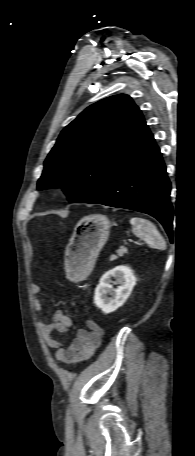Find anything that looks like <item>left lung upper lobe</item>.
Listing matches in <instances>:
<instances>
[{
	"label": "left lung upper lobe",
	"mask_w": 195,
	"mask_h": 456,
	"mask_svg": "<svg viewBox=\"0 0 195 456\" xmlns=\"http://www.w3.org/2000/svg\"><path fill=\"white\" fill-rule=\"evenodd\" d=\"M144 122L128 95L89 106L59 135L38 189L63 188L70 203L84 202L103 185Z\"/></svg>",
	"instance_id": "1"
}]
</instances>
